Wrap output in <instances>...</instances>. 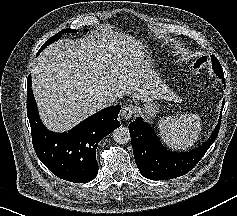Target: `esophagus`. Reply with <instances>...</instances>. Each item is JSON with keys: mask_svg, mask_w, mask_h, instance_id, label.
Here are the masks:
<instances>
[{"mask_svg": "<svg viewBox=\"0 0 237 216\" xmlns=\"http://www.w3.org/2000/svg\"><path fill=\"white\" fill-rule=\"evenodd\" d=\"M135 114V107L132 104H125L120 112V118L130 120Z\"/></svg>", "mask_w": 237, "mask_h": 216, "instance_id": "esophagus-1", "label": "esophagus"}]
</instances>
